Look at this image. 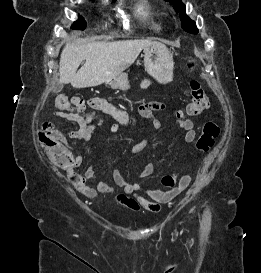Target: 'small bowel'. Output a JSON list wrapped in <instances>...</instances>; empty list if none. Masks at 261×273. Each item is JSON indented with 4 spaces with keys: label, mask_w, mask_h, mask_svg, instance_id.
Instances as JSON below:
<instances>
[{
    "label": "small bowel",
    "mask_w": 261,
    "mask_h": 273,
    "mask_svg": "<svg viewBox=\"0 0 261 273\" xmlns=\"http://www.w3.org/2000/svg\"><path fill=\"white\" fill-rule=\"evenodd\" d=\"M151 84V80L146 78L143 81V86L148 87ZM89 105L101 112L111 115L116 124L111 127L112 131H116L118 126H128L131 122L129 114L123 109L117 107L116 105L109 103L105 100L94 98L90 100ZM59 108V107H58ZM166 106L160 102H151L141 106L140 113L144 118L150 119L154 128L157 130L160 128V122L153 116L154 111H160L165 109ZM55 112L54 115L60 118H65L73 121L79 125V129L71 130L65 132V136L82 142H89L91 138L95 135L97 127L95 125L89 124L83 117L74 116L72 113L64 112V109ZM173 115L176 118V123L179 128L185 131L184 139L187 143H192L196 138V132L194 129V124L190 119L182 118L180 111L177 109L173 110ZM48 130H56V128L48 123L45 125ZM147 146V141H141L135 144L131 150V154H137L141 152ZM83 156L77 154L74 156V163L72 166L67 167L68 179L75 187V189L82 195L94 199L96 198L98 192L105 195H114V199L118 204H121L133 211H138L141 208L147 211L156 213L160 210V204L166 203L172 200L180 191H162L157 189L145 188L138 182H132L127 180L119 169L115 168L113 170V179L115 183L122 187L124 194H116L114 188L109 184L97 180L95 176V169L93 166H88L84 174L81 175L76 171V168L83 164ZM154 172V165L152 162H147L139 175V179H145L150 177ZM87 180H94L96 182L95 188L90 187L87 184ZM191 177L189 174H185L181 177V181H188L190 183ZM128 195H131L129 197Z\"/></svg>",
    "instance_id": "c3829d8e"
}]
</instances>
